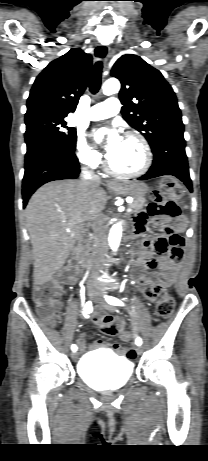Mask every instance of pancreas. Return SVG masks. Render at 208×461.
Listing matches in <instances>:
<instances>
[{"label":"pancreas","mask_w":208,"mask_h":461,"mask_svg":"<svg viewBox=\"0 0 208 461\" xmlns=\"http://www.w3.org/2000/svg\"><path fill=\"white\" fill-rule=\"evenodd\" d=\"M145 205H146L145 198H139V199H134V201L131 204H129V207L133 211L136 212V211L141 210Z\"/></svg>","instance_id":"cf45deb5"}]
</instances>
